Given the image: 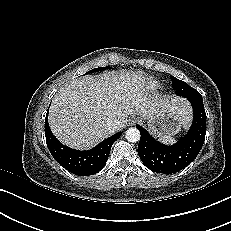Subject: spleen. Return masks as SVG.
I'll use <instances>...</instances> for the list:
<instances>
[{
	"label": "spleen",
	"instance_id": "3e777b00",
	"mask_svg": "<svg viewBox=\"0 0 231 231\" xmlns=\"http://www.w3.org/2000/svg\"><path fill=\"white\" fill-rule=\"evenodd\" d=\"M159 140L164 144H173L175 142V139L171 137L170 135H164L159 138Z\"/></svg>",
	"mask_w": 231,
	"mask_h": 231
}]
</instances>
